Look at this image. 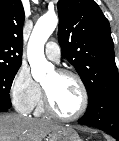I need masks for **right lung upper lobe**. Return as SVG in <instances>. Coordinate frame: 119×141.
Segmentation results:
<instances>
[{
    "label": "right lung upper lobe",
    "instance_id": "obj_1",
    "mask_svg": "<svg viewBox=\"0 0 119 141\" xmlns=\"http://www.w3.org/2000/svg\"><path fill=\"white\" fill-rule=\"evenodd\" d=\"M23 23L21 0H0V65H21Z\"/></svg>",
    "mask_w": 119,
    "mask_h": 141
}]
</instances>
